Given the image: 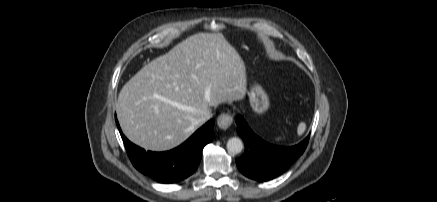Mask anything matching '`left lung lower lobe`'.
<instances>
[{"instance_id": "0a47b994", "label": "left lung lower lobe", "mask_w": 437, "mask_h": 202, "mask_svg": "<svg viewBox=\"0 0 437 202\" xmlns=\"http://www.w3.org/2000/svg\"><path fill=\"white\" fill-rule=\"evenodd\" d=\"M237 133L245 143L244 154L236 159L240 172L250 179L268 181L285 172L303 154L309 136L295 146L283 147L269 144L258 137L247 125L244 118L237 115Z\"/></svg>"}]
</instances>
